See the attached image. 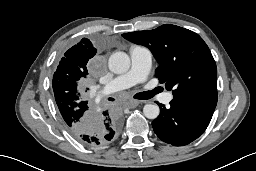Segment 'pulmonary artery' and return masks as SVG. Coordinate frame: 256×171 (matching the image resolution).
<instances>
[{"mask_svg": "<svg viewBox=\"0 0 256 171\" xmlns=\"http://www.w3.org/2000/svg\"><path fill=\"white\" fill-rule=\"evenodd\" d=\"M130 58V69L108 83L104 88V94H110L129 88L135 84L143 82L147 78L152 65V52L147 47L134 46L130 49ZM171 99V93L164 94V103L168 104Z\"/></svg>", "mask_w": 256, "mask_h": 171, "instance_id": "1", "label": "pulmonary artery"}]
</instances>
